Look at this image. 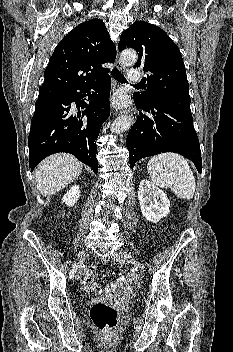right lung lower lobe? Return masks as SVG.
Instances as JSON below:
<instances>
[{
    "label": "right lung lower lobe",
    "instance_id": "1",
    "mask_svg": "<svg viewBox=\"0 0 233 352\" xmlns=\"http://www.w3.org/2000/svg\"><path fill=\"white\" fill-rule=\"evenodd\" d=\"M110 80L106 72L67 94L38 97L28 137L31 169L51 154L66 152L98 172L96 139L110 114Z\"/></svg>",
    "mask_w": 233,
    "mask_h": 352
}]
</instances>
